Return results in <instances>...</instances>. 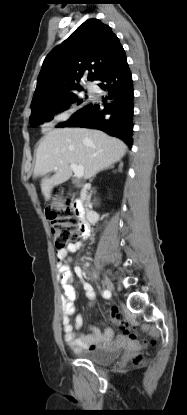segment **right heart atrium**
I'll use <instances>...</instances> for the list:
<instances>
[{
	"label": "right heart atrium",
	"instance_id": "1",
	"mask_svg": "<svg viewBox=\"0 0 187 415\" xmlns=\"http://www.w3.org/2000/svg\"><path fill=\"white\" fill-rule=\"evenodd\" d=\"M70 112L68 110H57L51 115V121L54 124H62L68 121Z\"/></svg>",
	"mask_w": 187,
	"mask_h": 415
}]
</instances>
